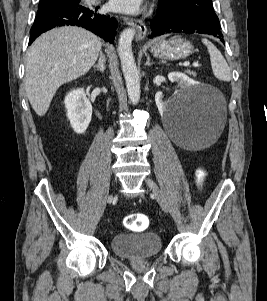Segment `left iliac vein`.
<instances>
[{"label": "left iliac vein", "instance_id": "left-iliac-vein-1", "mask_svg": "<svg viewBox=\"0 0 267 301\" xmlns=\"http://www.w3.org/2000/svg\"><path fill=\"white\" fill-rule=\"evenodd\" d=\"M145 183L149 187V189L152 191L153 195L155 196L156 200L160 204L161 208L165 211L168 212V204L167 201L164 197V194L162 191L159 189L157 184L149 177L145 178Z\"/></svg>", "mask_w": 267, "mask_h": 301}]
</instances>
